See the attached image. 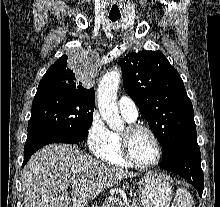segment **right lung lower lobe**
Instances as JSON below:
<instances>
[{
  "mask_svg": "<svg viewBox=\"0 0 220 207\" xmlns=\"http://www.w3.org/2000/svg\"><path fill=\"white\" fill-rule=\"evenodd\" d=\"M85 136L82 135H71V136H64V135H50V136H39L27 139L24 147V166L29 158L41 147L46 144L50 143H69L74 144L78 143L84 139Z\"/></svg>",
  "mask_w": 220,
  "mask_h": 207,
  "instance_id": "obj_1",
  "label": "right lung lower lobe"
}]
</instances>
